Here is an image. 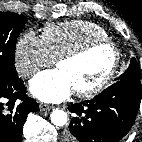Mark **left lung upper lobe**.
<instances>
[{
  "mask_svg": "<svg viewBox=\"0 0 142 142\" xmlns=\"http://www.w3.org/2000/svg\"><path fill=\"white\" fill-rule=\"evenodd\" d=\"M140 68L138 63L136 62L135 58H132L130 61V65L128 69L119 77L116 79V81L128 79V78H141L140 74Z\"/></svg>",
  "mask_w": 142,
  "mask_h": 142,
  "instance_id": "5c2ea615",
  "label": "left lung upper lobe"
}]
</instances>
